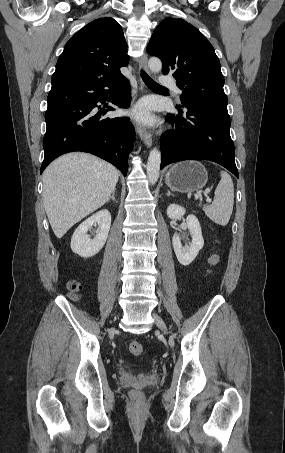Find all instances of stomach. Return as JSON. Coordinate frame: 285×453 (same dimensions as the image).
<instances>
[{
    "instance_id": "1",
    "label": "stomach",
    "mask_w": 285,
    "mask_h": 453,
    "mask_svg": "<svg viewBox=\"0 0 285 453\" xmlns=\"http://www.w3.org/2000/svg\"><path fill=\"white\" fill-rule=\"evenodd\" d=\"M208 180L206 168L194 160L173 165L165 175L166 185L173 191L191 193L202 189Z\"/></svg>"
}]
</instances>
